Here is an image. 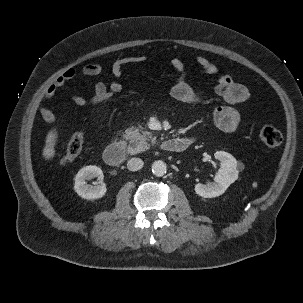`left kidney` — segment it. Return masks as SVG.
Listing matches in <instances>:
<instances>
[{"label":"left kidney","instance_id":"5707ae66","mask_svg":"<svg viewBox=\"0 0 303 303\" xmlns=\"http://www.w3.org/2000/svg\"><path fill=\"white\" fill-rule=\"evenodd\" d=\"M214 156L221 163L214 182L206 185L200 183L195 185L196 194L204 198H213L222 195L238 179V162L231 154L217 151Z\"/></svg>","mask_w":303,"mask_h":303}]
</instances>
